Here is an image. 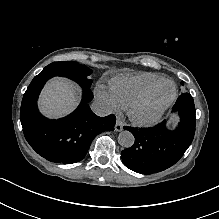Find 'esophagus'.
Segmentation results:
<instances>
[{
    "label": "esophagus",
    "mask_w": 219,
    "mask_h": 219,
    "mask_svg": "<svg viewBox=\"0 0 219 219\" xmlns=\"http://www.w3.org/2000/svg\"><path fill=\"white\" fill-rule=\"evenodd\" d=\"M123 122L120 119H117L116 124H115V131L116 132H121L123 130Z\"/></svg>",
    "instance_id": "1"
}]
</instances>
